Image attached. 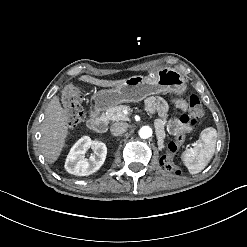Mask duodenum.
<instances>
[{"instance_id":"obj_1","label":"duodenum","mask_w":247,"mask_h":247,"mask_svg":"<svg viewBox=\"0 0 247 247\" xmlns=\"http://www.w3.org/2000/svg\"><path fill=\"white\" fill-rule=\"evenodd\" d=\"M87 126L89 129L97 133H105L107 131V123L105 119L100 115L98 109L90 110Z\"/></svg>"}]
</instances>
